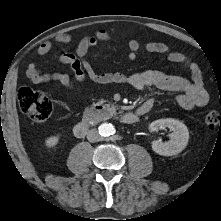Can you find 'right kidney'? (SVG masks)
<instances>
[{"instance_id":"right-kidney-1","label":"right kidney","mask_w":221,"mask_h":221,"mask_svg":"<svg viewBox=\"0 0 221 221\" xmlns=\"http://www.w3.org/2000/svg\"><path fill=\"white\" fill-rule=\"evenodd\" d=\"M59 141V138L57 136H52L47 138V140L45 141V144L47 147H53L55 146Z\"/></svg>"}]
</instances>
